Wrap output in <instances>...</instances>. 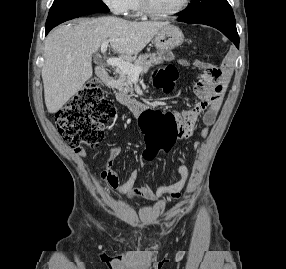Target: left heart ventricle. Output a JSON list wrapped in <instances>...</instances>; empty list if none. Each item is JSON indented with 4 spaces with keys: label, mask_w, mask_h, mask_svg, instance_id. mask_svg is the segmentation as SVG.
<instances>
[{
    "label": "left heart ventricle",
    "mask_w": 286,
    "mask_h": 269,
    "mask_svg": "<svg viewBox=\"0 0 286 269\" xmlns=\"http://www.w3.org/2000/svg\"><path fill=\"white\" fill-rule=\"evenodd\" d=\"M183 0H149L151 8L157 13H167L177 9Z\"/></svg>",
    "instance_id": "left-heart-ventricle-1"
}]
</instances>
